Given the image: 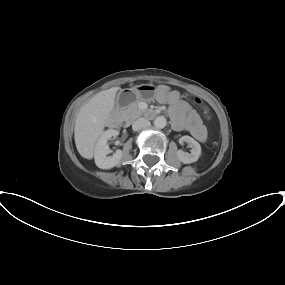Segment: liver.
Masks as SVG:
<instances>
[{
    "instance_id": "6515ba94",
    "label": "liver",
    "mask_w": 285,
    "mask_h": 285,
    "mask_svg": "<svg viewBox=\"0 0 285 285\" xmlns=\"http://www.w3.org/2000/svg\"><path fill=\"white\" fill-rule=\"evenodd\" d=\"M119 87L97 93L79 111L75 121L74 138L79 154L92 159L97 139L103 134L109 116L115 105Z\"/></svg>"
}]
</instances>
